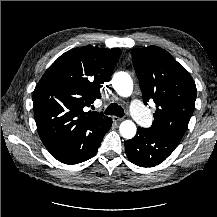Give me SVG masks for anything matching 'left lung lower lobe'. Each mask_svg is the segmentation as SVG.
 <instances>
[{
  "label": "left lung lower lobe",
  "instance_id": "left-lung-lower-lobe-1",
  "mask_svg": "<svg viewBox=\"0 0 217 217\" xmlns=\"http://www.w3.org/2000/svg\"><path fill=\"white\" fill-rule=\"evenodd\" d=\"M178 144V141L151 128L138 127L136 136L125 142V152L133 164L153 167L164 161Z\"/></svg>",
  "mask_w": 217,
  "mask_h": 217
}]
</instances>
